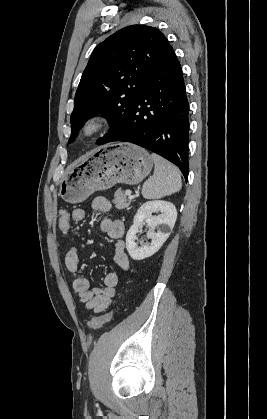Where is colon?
Returning <instances> with one entry per match:
<instances>
[{"label":"colon","instance_id":"obj_1","mask_svg":"<svg viewBox=\"0 0 267 419\" xmlns=\"http://www.w3.org/2000/svg\"><path fill=\"white\" fill-rule=\"evenodd\" d=\"M58 227L60 231L64 234H68L70 231V217L68 212L62 211L58 219ZM114 315V311L107 312L100 316L94 317L88 322V328L90 330H96L103 326L105 323L109 322Z\"/></svg>","mask_w":267,"mask_h":419}]
</instances>
